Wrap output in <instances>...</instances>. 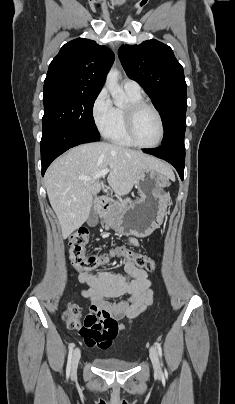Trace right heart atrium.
I'll use <instances>...</instances> for the list:
<instances>
[{"label": "right heart atrium", "mask_w": 235, "mask_h": 404, "mask_svg": "<svg viewBox=\"0 0 235 404\" xmlns=\"http://www.w3.org/2000/svg\"><path fill=\"white\" fill-rule=\"evenodd\" d=\"M113 105L106 89H102L92 103V117L97 129L104 134L109 128L113 115Z\"/></svg>", "instance_id": "d8ad5b80"}]
</instances>
